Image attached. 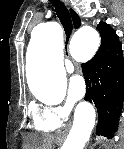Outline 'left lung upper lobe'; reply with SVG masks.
Masks as SVG:
<instances>
[{
    "instance_id": "left-lung-upper-lobe-1",
    "label": "left lung upper lobe",
    "mask_w": 124,
    "mask_h": 149,
    "mask_svg": "<svg viewBox=\"0 0 124 149\" xmlns=\"http://www.w3.org/2000/svg\"><path fill=\"white\" fill-rule=\"evenodd\" d=\"M97 29L99 30L100 35L115 33V31L108 24H106L105 22L104 23L101 22L98 25Z\"/></svg>"
}]
</instances>
